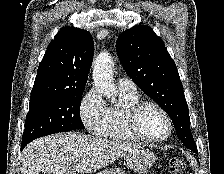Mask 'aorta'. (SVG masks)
<instances>
[{
	"label": "aorta",
	"mask_w": 224,
	"mask_h": 174,
	"mask_svg": "<svg viewBox=\"0 0 224 174\" xmlns=\"http://www.w3.org/2000/svg\"><path fill=\"white\" fill-rule=\"evenodd\" d=\"M113 67L114 62L111 55L104 51L101 52L95 59L93 67L94 85L107 98L115 100L116 88L113 83Z\"/></svg>",
	"instance_id": "1"
}]
</instances>
